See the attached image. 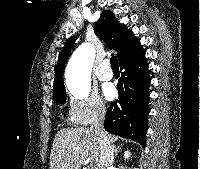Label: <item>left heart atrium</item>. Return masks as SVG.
Instances as JSON below:
<instances>
[{
  "mask_svg": "<svg viewBox=\"0 0 200 169\" xmlns=\"http://www.w3.org/2000/svg\"><path fill=\"white\" fill-rule=\"evenodd\" d=\"M103 94L106 99L112 100L116 95V90L113 85H107L103 89Z\"/></svg>",
  "mask_w": 200,
  "mask_h": 169,
  "instance_id": "left-heart-atrium-1",
  "label": "left heart atrium"
}]
</instances>
